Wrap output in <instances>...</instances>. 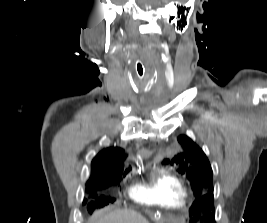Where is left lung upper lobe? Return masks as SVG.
<instances>
[{
    "instance_id": "left-lung-upper-lobe-1",
    "label": "left lung upper lobe",
    "mask_w": 267,
    "mask_h": 223,
    "mask_svg": "<svg viewBox=\"0 0 267 223\" xmlns=\"http://www.w3.org/2000/svg\"><path fill=\"white\" fill-rule=\"evenodd\" d=\"M178 141L183 149L169 163L176 166L179 173L186 174L197 200L193 206H179V209H172V214L193 213L196 219L214 222V198L211 194L213 172L210 163L202 149L189 137L181 135L178 137ZM206 192L208 194H205Z\"/></svg>"
}]
</instances>
